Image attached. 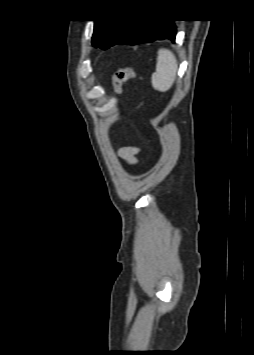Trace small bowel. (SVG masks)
<instances>
[{
  "label": "small bowel",
  "mask_w": 254,
  "mask_h": 355,
  "mask_svg": "<svg viewBox=\"0 0 254 355\" xmlns=\"http://www.w3.org/2000/svg\"><path fill=\"white\" fill-rule=\"evenodd\" d=\"M140 150L138 147L128 146L123 147L119 154L122 159H124L129 164H135L137 162V155L139 154Z\"/></svg>",
  "instance_id": "1"
}]
</instances>
